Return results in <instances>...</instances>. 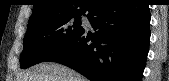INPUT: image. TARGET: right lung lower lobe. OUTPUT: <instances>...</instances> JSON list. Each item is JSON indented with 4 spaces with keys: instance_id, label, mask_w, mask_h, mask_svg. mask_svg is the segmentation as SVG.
<instances>
[{
    "instance_id": "1",
    "label": "right lung lower lobe",
    "mask_w": 169,
    "mask_h": 81,
    "mask_svg": "<svg viewBox=\"0 0 169 81\" xmlns=\"http://www.w3.org/2000/svg\"><path fill=\"white\" fill-rule=\"evenodd\" d=\"M87 17L95 34L83 29L45 61L66 65L91 81H141L150 41L148 5L97 0Z\"/></svg>"
}]
</instances>
